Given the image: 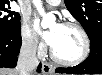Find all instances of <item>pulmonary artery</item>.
<instances>
[{
    "mask_svg": "<svg viewBox=\"0 0 102 75\" xmlns=\"http://www.w3.org/2000/svg\"><path fill=\"white\" fill-rule=\"evenodd\" d=\"M47 2L54 6H57L61 3V0H48Z\"/></svg>",
    "mask_w": 102,
    "mask_h": 75,
    "instance_id": "e3ab8cb5",
    "label": "pulmonary artery"
}]
</instances>
